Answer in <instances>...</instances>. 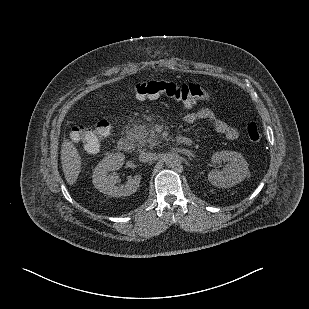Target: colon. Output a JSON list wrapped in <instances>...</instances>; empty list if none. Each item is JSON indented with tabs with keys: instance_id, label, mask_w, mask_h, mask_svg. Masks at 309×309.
Returning <instances> with one entry per match:
<instances>
[{
	"instance_id": "colon-1",
	"label": "colon",
	"mask_w": 309,
	"mask_h": 309,
	"mask_svg": "<svg viewBox=\"0 0 309 309\" xmlns=\"http://www.w3.org/2000/svg\"><path fill=\"white\" fill-rule=\"evenodd\" d=\"M134 91L138 99H156L167 96L190 106L209 98L208 91L196 83L179 85L170 81L153 80L136 84ZM246 132L252 142L261 140V132L256 123H249ZM109 133L110 124L106 119L89 120L77 127L74 139L81 141L85 150H92Z\"/></svg>"
}]
</instances>
